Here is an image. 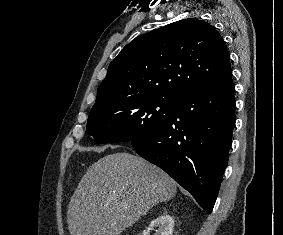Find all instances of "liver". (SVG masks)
Segmentation results:
<instances>
[{
  "label": "liver",
  "instance_id": "obj_1",
  "mask_svg": "<svg viewBox=\"0 0 283 235\" xmlns=\"http://www.w3.org/2000/svg\"><path fill=\"white\" fill-rule=\"evenodd\" d=\"M177 184L159 167L126 152L93 163L68 206L70 235H120L154 205L173 198Z\"/></svg>",
  "mask_w": 283,
  "mask_h": 235
}]
</instances>
